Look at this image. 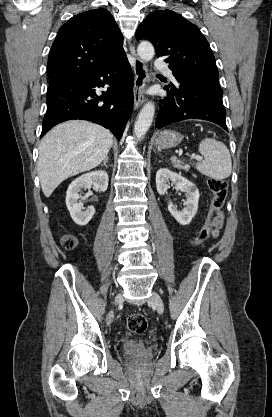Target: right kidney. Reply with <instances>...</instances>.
Here are the masks:
<instances>
[{"instance_id":"right-kidney-1","label":"right kidney","mask_w":272,"mask_h":417,"mask_svg":"<svg viewBox=\"0 0 272 417\" xmlns=\"http://www.w3.org/2000/svg\"><path fill=\"white\" fill-rule=\"evenodd\" d=\"M108 174L105 171H93L76 178L68 187L66 194V206L70 212L71 218L79 226H85L92 219L95 209L93 206L82 211V207L78 204L81 189H90L94 186L102 192L108 187Z\"/></svg>"}]
</instances>
